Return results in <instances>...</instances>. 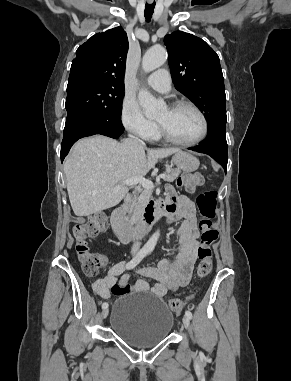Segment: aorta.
<instances>
[{"label":"aorta","mask_w":291,"mask_h":381,"mask_svg":"<svg viewBox=\"0 0 291 381\" xmlns=\"http://www.w3.org/2000/svg\"><path fill=\"white\" fill-rule=\"evenodd\" d=\"M166 59L167 52L165 48L161 46L153 47L144 54L142 59V69L145 72H151L162 66ZM138 101L147 118L156 117L164 107V103L162 101L157 100L150 92L146 90L139 91ZM159 235V231H156L147 241L146 247L153 250L156 246Z\"/></svg>","instance_id":"obj_1"}]
</instances>
